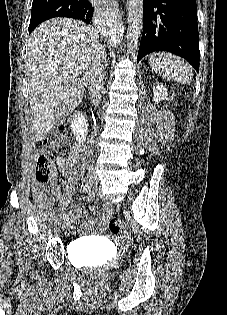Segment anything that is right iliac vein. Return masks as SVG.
<instances>
[{
	"instance_id": "obj_1",
	"label": "right iliac vein",
	"mask_w": 227,
	"mask_h": 315,
	"mask_svg": "<svg viewBox=\"0 0 227 315\" xmlns=\"http://www.w3.org/2000/svg\"><path fill=\"white\" fill-rule=\"evenodd\" d=\"M98 183V177L97 174L94 171H90L87 174V184L89 185H95ZM72 223L71 219H66L63 223V228L67 229Z\"/></svg>"
}]
</instances>
